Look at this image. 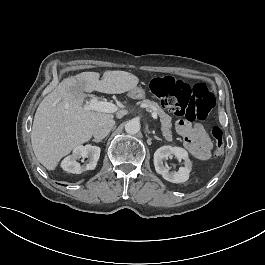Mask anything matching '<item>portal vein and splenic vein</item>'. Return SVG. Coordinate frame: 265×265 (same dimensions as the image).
Returning <instances> with one entry per match:
<instances>
[{"instance_id": "18ae733b", "label": "portal vein and splenic vein", "mask_w": 265, "mask_h": 265, "mask_svg": "<svg viewBox=\"0 0 265 265\" xmlns=\"http://www.w3.org/2000/svg\"><path fill=\"white\" fill-rule=\"evenodd\" d=\"M84 109L87 111L93 110L104 113H114L117 111V106L111 102L99 101L97 97H93L90 101L86 102ZM152 117L157 119V113L153 112Z\"/></svg>"}]
</instances>
